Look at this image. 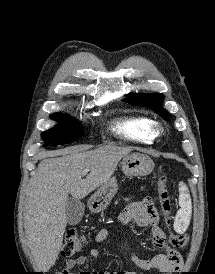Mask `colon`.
<instances>
[{
	"mask_svg": "<svg viewBox=\"0 0 215 274\" xmlns=\"http://www.w3.org/2000/svg\"><path fill=\"white\" fill-rule=\"evenodd\" d=\"M158 201L160 210L165 216L166 224L170 225L173 204L166 184V173L164 171L160 172L158 179ZM84 243L85 238L79 235L77 231L73 229L68 230L61 250L62 256L71 257L83 248ZM171 243L175 247H185L188 243V237L183 234L174 233L171 235Z\"/></svg>",
	"mask_w": 215,
	"mask_h": 274,
	"instance_id": "1",
	"label": "colon"
}]
</instances>
